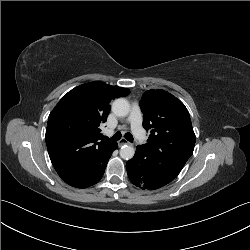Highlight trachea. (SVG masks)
<instances>
[{
  "mask_svg": "<svg viewBox=\"0 0 250 250\" xmlns=\"http://www.w3.org/2000/svg\"><path fill=\"white\" fill-rule=\"evenodd\" d=\"M119 139H121V133L120 132H116L113 137L111 138H107V140L110 141H118ZM125 139L128 140L129 142H133V136L131 133H126L125 134Z\"/></svg>",
  "mask_w": 250,
  "mask_h": 250,
  "instance_id": "1",
  "label": "trachea"
}]
</instances>
